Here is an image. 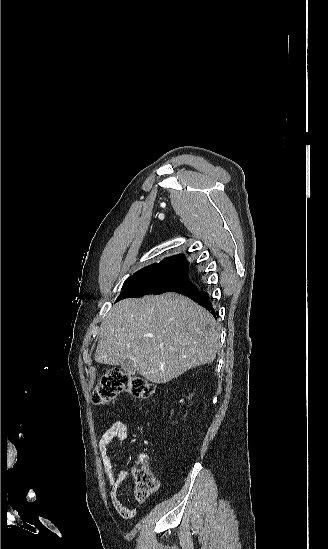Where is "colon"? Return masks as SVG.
<instances>
[{
  "instance_id": "colon-1",
  "label": "colon",
  "mask_w": 328,
  "mask_h": 549,
  "mask_svg": "<svg viewBox=\"0 0 328 549\" xmlns=\"http://www.w3.org/2000/svg\"><path fill=\"white\" fill-rule=\"evenodd\" d=\"M127 392L136 398H150L154 386L142 377L131 375L121 369H111L106 372L92 392V401L97 405L106 404L120 393ZM135 481L134 495L137 500H145L152 491L153 479L144 466H137L133 470ZM133 514H128L132 517Z\"/></svg>"
}]
</instances>
